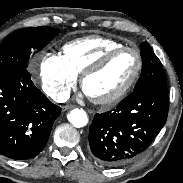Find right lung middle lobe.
<instances>
[{
    "mask_svg": "<svg viewBox=\"0 0 183 183\" xmlns=\"http://www.w3.org/2000/svg\"><path fill=\"white\" fill-rule=\"evenodd\" d=\"M59 32L58 29L46 26L14 32L0 44V73L26 69L31 52L45 47Z\"/></svg>",
    "mask_w": 183,
    "mask_h": 183,
    "instance_id": "obj_1",
    "label": "right lung middle lobe"
}]
</instances>
